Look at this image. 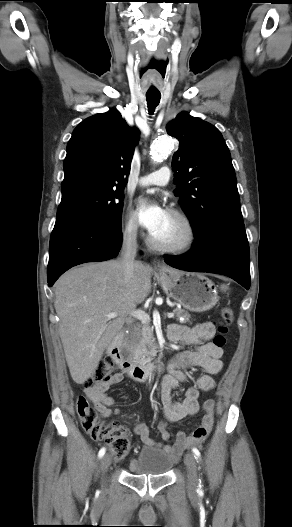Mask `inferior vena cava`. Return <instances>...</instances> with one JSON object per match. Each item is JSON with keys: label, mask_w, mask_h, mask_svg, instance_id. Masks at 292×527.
I'll return each mask as SVG.
<instances>
[{"label": "inferior vena cava", "mask_w": 292, "mask_h": 527, "mask_svg": "<svg viewBox=\"0 0 292 527\" xmlns=\"http://www.w3.org/2000/svg\"><path fill=\"white\" fill-rule=\"evenodd\" d=\"M137 227H129L123 235V244L120 261L123 265L126 279H130L134 271V262L137 254Z\"/></svg>", "instance_id": "obj_1"}]
</instances>
